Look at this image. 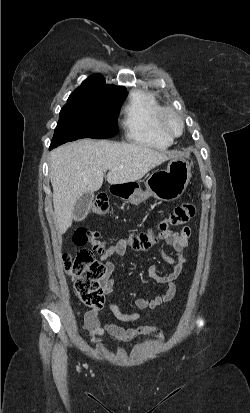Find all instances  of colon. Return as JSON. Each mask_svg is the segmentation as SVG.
Masks as SVG:
<instances>
[{
  "label": "colon",
  "mask_w": 250,
  "mask_h": 413,
  "mask_svg": "<svg viewBox=\"0 0 250 413\" xmlns=\"http://www.w3.org/2000/svg\"><path fill=\"white\" fill-rule=\"evenodd\" d=\"M92 213L104 216L109 212V203L105 196L100 195L95 198L91 206ZM195 215V207L191 203H183L169 213L154 228L144 232L134 233L129 238L123 240L124 248L129 246L135 250H148L158 240L160 230L169 229L189 222ZM76 245H84L87 242L92 244L93 250L97 253L107 251L105 244L99 239L96 231L86 228H79L74 234ZM66 273L73 279L76 294L80 301L90 307L99 308L103 303V292L100 287V280L105 274V267L94 259L93 253L82 250L72 258L67 254L63 257Z\"/></svg>",
  "instance_id": "5ec220e1"
}]
</instances>
